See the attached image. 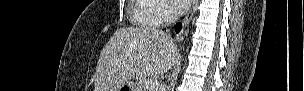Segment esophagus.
I'll use <instances>...</instances> for the list:
<instances>
[{"label": "esophagus", "mask_w": 304, "mask_h": 91, "mask_svg": "<svg viewBox=\"0 0 304 91\" xmlns=\"http://www.w3.org/2000/svg\"><path fill=\"white\" fill-rule=\"evenodd\" d=\"M197 2H198V0H194V1H193V4H192V6H191L189 12L186 14L185 18H184L183 21H182L183 30H182V32L176 37V39H177L178 41L183 40V38H184V37L187 35V33H188V27H189V25H190L192 16H193V14H194V11H195Z\"/></svg>", "instance_id": "esophagus-1"}]
</instances>
